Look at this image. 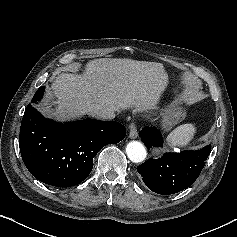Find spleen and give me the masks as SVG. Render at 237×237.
<instances>
[{"mask_svg":"<svg viewBox=\"0 0 237 237\" xmlns=\"http://www.w3.org/2000/svg\"><path fill=\"white\" fill-rule=\"evenodd\" d=\"M195 132L196 128L193 124L180 125L167 136V144L174 149L185 147L193 139Z\"/></svg>","mask_w":237,"mask_h":237,"instance_id":"spleen-1","label":"spleen"}]
</instances>
